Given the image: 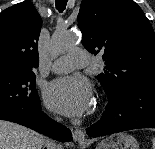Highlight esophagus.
Listing matches in <instances>:
<instances>
[{
    "mask_svg": "<svg viewBox=\"0 0 155 149\" xmlns=\"http://www.w3.org/2000/svg\"><path fill=\"white\" fill-rule=\"evenodd\" d=\"M72 135H73V139L76 142H85L86 141L84 132L79 128L74 129Z\"/></svg>",
    "mask_w": 155,
    "mask_h": 149,
    "instance_id": "obj_1",
    "label": "esophagus"
}]
</instances>
